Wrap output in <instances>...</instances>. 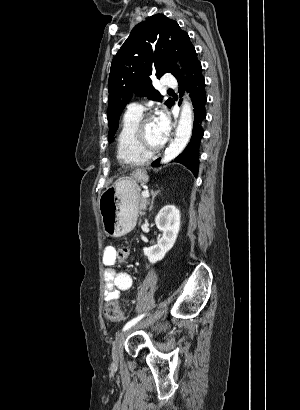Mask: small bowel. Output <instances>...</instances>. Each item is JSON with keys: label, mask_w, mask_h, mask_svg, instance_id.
<instances>
[{"label": "small bowel", "mask_w": 300, "mask_h": 410, "mask_svg": "<svg viewBox=\"0 0 300 410\" xmlns=\"http://www.w3.org/2000/svg\"><path fill=\"white\" fill-rule=\"evenodd\" d=\"M104 266V296L106 301L119 297L120 292L130 290L133 286L132 277L126 272L117 271L115 265V247L107 246L102 255Z\"/></svg>", "instance_id": "small-bowel-1"}]
</instances>
